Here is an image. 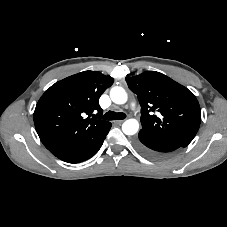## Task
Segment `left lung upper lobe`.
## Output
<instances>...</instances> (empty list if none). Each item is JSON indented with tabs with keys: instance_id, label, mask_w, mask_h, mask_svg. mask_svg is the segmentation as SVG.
<instances>
[{
	"instance_id": "obj_1",
	"label": "left lung upper lobe",
	"mask_w": 227,
	"mask_h": 227,
	"mask_svg": "<svg viewBox=\"0 0 227 227\" xmlns=\"http://www.w3.org/2000/svg\"><path fill=\"white\" fill-rule=\"evenodd\" d=\"M125 79L141 105L140 132L186 147L195 137L201 122V110L195 95L156 71Z\"/></svg>"
}]
</instances>
